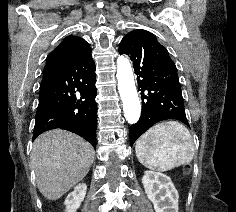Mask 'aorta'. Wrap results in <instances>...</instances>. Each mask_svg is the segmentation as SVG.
Masks as SVG:
<instances>
[{
	"label": "aorta",
	"instance_id": "1",
	"mask_svg": "<svg viewBox=\"0 0 236 212\" xmlns=\"http://www.w3.org/2000/svg\"><path fill=\"white\" fill-rule=\"evenodd\" d=\"M117 80L125 119L128 123L134 124L140 118L141 105L135 87L132 67L125 56H119L117 59Z\"/></svg>",
	"mask_w": 236,
	"mask_h": 212
}]
</instances>
